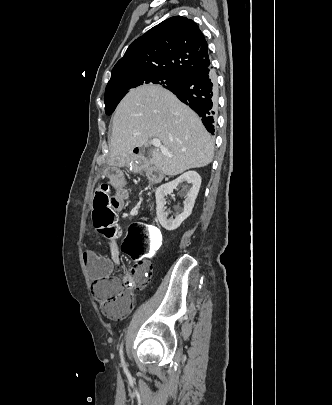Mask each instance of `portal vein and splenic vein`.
<instances>
[{
  "instance_id": "obj_1",
  "label": "portal vein and splenic vein",
  "mask_w": 332,
  "mask_h": 405,
  "mask_svg": "<svg viewBox=\"0 0 332 405\" xmlns=\"http://www.w3.org/2000/svg\"><path fill=\"white\" fill-rule=\"evenodd\" d=\"M151 144L155 147L158 148L163 154L167 156H171L170 152L161 144L160 140L157 138H153L151 140Z\"/></svg>"
}]
</instances>
